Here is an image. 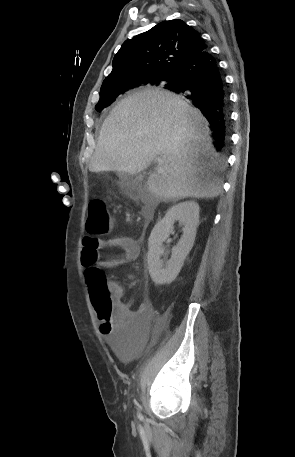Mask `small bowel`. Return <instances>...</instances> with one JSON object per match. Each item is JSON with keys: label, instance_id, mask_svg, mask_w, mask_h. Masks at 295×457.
Wrapping results in <instances>:
<instances>
[{"label": "small bowel", "instance_id": "obj_1", "mask_svg": "<svg viewBox=\"0 0 295 457\" xmlns=\"http://www.w3.org/2000/svg\"><path fill=\"white\" fill-rule=\"evenodd\" d=\"M117 247L123 255L116 258L101 259L100 251L105 248ZM140 247L134 238L117 236L100 238L87 234L82 239V265L84 269L89 263L99 264L105 269H115L137 259ZM114 316L108 321L100 320V330L106 338H137L150 322L154 311L149 303H143L137 310L131 311L124 302V289L120 285L113 286Z\"/></svg>", "mask_w": 295, "mask_h": 457}]
</instances>
